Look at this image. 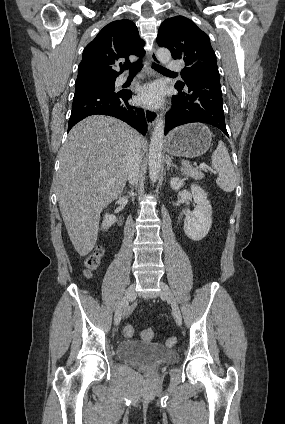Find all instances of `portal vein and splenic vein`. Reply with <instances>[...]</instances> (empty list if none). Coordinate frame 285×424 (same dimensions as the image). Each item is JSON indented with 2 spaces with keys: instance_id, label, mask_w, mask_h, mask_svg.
I'll list each match as a JSON object with an SVG mask.
<instances>
[{
  "instance_id": "portal-vein-and-splenic-vein-1",
  "label": "portal vein and splenic vein",
  "mask_w": 285,
  "mask_h": 424,
  "mask_svg": "<svg viewBox=\"0 0 285 424\" xmlns=\"http://www.w3.org/2000/svg\"><path fill=\"white\" fill-rule=\"evenodd\" d=\"M200 168H206V164L205 163H201L200 164Z\"/></svg>"
}]
</instances>
